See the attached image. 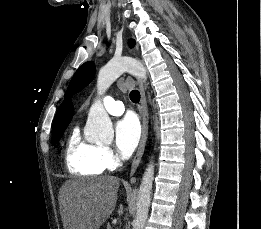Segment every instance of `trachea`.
<instances>
[{"label": "trachea", "mask_w": 261, "mask_h": 229, "mask_svg": "<svg viewBox=\"0 0 261 229\" xmlns=\"http://www.w3.org/2000/svg\"><path fill=\"white\" fill-rule=\"evenodd\" d=\"M130 99L132 100V102L137 104L140 101V92L138 90H132L130 92Z\"/></svg>", "instance_id": "3493384b"}]
</instances>
